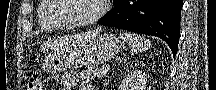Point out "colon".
Wrapping results in <instances>:
<instances>
[{
	"instance_id": "obj_1",
	"label": "colon",
	"mask_w": 216,
	"mask_h": 90,
	"mask_svg": "<svg viewBox=\"0 0 216 90\" xmlns=\"http://www.w3.org/2000/svg\"><path fill=\"white\" fill-rule=\"evenodd\" d=\"M28 90H42V84L37 77H32L29 80Z\"/></svg>"
}]
</instances>
